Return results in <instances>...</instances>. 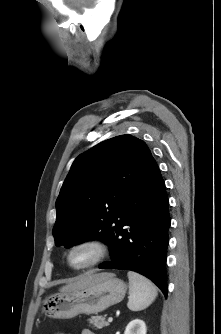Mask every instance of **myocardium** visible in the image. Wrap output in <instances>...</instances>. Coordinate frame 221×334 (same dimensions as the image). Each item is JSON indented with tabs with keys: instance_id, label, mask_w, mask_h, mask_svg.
<instances>
[{
	"instance_id": "1",
	"label": "myocardium",
	"mask_w": 221,
	"mask_h": 334,
	"mask_svg": "<svg viewBox=\"0 0 221 334\" xmlns=\"http://www.w3.org/2000/svg\"><path fill=\"white\" fill-rule=\"evenodd\" d=\"M87 249L91 251L92 257L85 263L75 264L72 261V255L79 250ZM108 248L106 243L95 237H87L73 243L66 253V264L73 270H84L99 264L106 257Z\"/></svg>"
}]
</instances>
